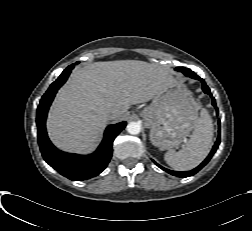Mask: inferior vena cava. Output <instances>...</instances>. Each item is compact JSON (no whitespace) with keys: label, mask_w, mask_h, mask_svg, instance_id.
<instances>
[{"label":"inferior vena cava","mask_w":252,"mask_h":231,"mask_svg":"<svg viewBox=\"0 0 252 231\" xmlns=\"http://www.w3.org/2000/svg\"><path fill=\"white\" fill-rule=\"evenodd\" d=\"M114 114V111H112V110H110L109 112H108V115L109 116H112Z\"/></svg>","instance_id":"1"}]
</instances>
